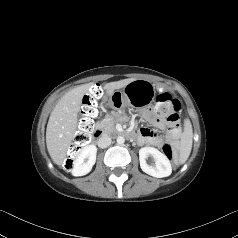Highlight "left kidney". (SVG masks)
Segmentation results:
<instances>
[{
  "mask_svg": "<svg viewBox=\"0 0 238 238\" xmlns=\"http://www.w3.org/2000/svg\"><path fill=\"white\" fill-rule=\"evenodd\" d=\"M152 156L155 164L148 165L146 159ZM140 167L145 173L157 177L163 178L171 175L172 167L169 159L158 149L154 147H143L139 150Z\"/></svg>",
  "mask_w": 238,
  "mask_h": 238,
  "instance_id": "5707ae66",
  "label": "left kidney"
}]
</instances>
